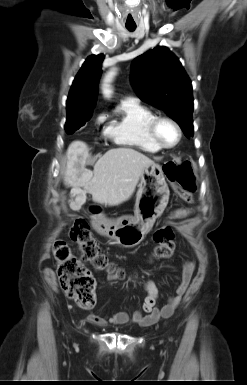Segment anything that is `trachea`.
I'll list each match as a JSON object with an SVG mask.
<instances>
[{
  "mask_svg": "<svg viewBox=\"0 0 247 385\" xmlns=\"http://www.w3.org/2000/svg\"><path fill=\"white\" fill-rule=\"evenodd\" d=\"M126 28L129 30V31H134L136 29V25H126Z\"/></svg>",
  "mask_w": 247,
  "mask_h": 385,
  "instance_id": "trachea-1",
  "label": "trachea"
}]
</instances>
